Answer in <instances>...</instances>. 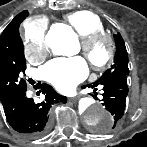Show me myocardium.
I'll return each mask as SVG.
<instances>
[{"instance_id":"obj_1","label":"myocardium","mask_w":147,"mask_h":147,"mask_svg":"<svg viewBox=\"0 0 147 147\" xmlns=\"http://www.w3.org/2000/svg\"><path fill=\"white\" fill-rule=\"evenodd\" d=\"M83 53L96 69H104L114 58L115 45L109 34L100 31L95 32L81 41ZM102 47L101 55L97 53L98 49Z\"/></svg>"}]
</instances>
